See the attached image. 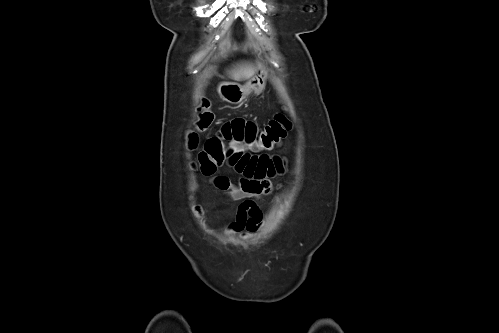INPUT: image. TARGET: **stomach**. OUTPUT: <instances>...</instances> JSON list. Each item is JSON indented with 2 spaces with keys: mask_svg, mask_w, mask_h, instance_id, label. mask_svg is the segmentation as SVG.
<instances>
[{
  "mask_svg": "<svg viewBox=\"0 0 499 333\" xmlns=\"http://www.w3.org/2000/svg\"><path fill=\"white\" fill-rule=\"evenodd\" d=\"M266 84V71L260 70L246 82L240 85L235 82H224L218 86V93L220 97L231 104H239L243 102L250 94H260Z\"/></svg>",
  "mask_w": 499,
  "mask_h": 333,
  "instance_id": "obj_1",
  "label": "stomach"
}]
</instances>
